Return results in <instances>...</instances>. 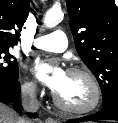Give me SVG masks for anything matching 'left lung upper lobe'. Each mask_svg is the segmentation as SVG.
<instances>
[{
    "label": "left lung upper lobe",
    "instance_id": "left-lung-upper-lobe-1",
    "mask_svg": "<svg viewBox=\"0 0 118 123\" xmlns=\"http://www.w3.org/2000/svg\"><path fill=\"white\" fill-rule=\"evenodd\" d=\"M66 5L76 50L107 105L118 98V8L114 0H66Z\"/></svg>",
    "mask_w": 118,
    "mask_h": 123
}]
</instances>
